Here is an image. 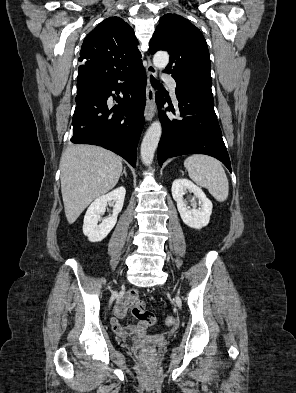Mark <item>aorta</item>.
Here are the masks:
<instances>
[{
  "mask_svg": "<svg viewBox=\"0 0 296 393\" xmlns=\"http://www.w3.org/2000/svg\"><path fill=\"white\" fill-rule=\"evenodd\" d=\"M169 62V55L165 51L157 52L153 57V64L155 67L161 69L167 66ZM162 133V126L159 121H154L147 129L143 141L141 143V160L149 166L153 162L154 153L158 146Z\"/></svg>",
  "mask_w": 296,
  "mask_h": 393,
  "instance_id": "1",
  "label": "aorta"
}]
</instances>
